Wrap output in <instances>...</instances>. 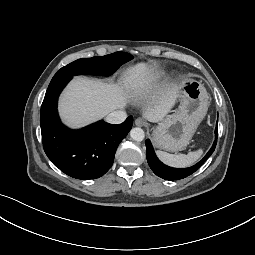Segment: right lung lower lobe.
<instances>
[{"instance_id":"right-lung-lower-lobe-1","label":"right lung lower lobe","mask_w":255,"mask_h":255,"mask_svg":"<svg viewBox=\"0 0 255 255\" xmlns=\"http://www.w3.org/2000/svg\"><path fill=\"white\" fill-rule=\"evenodd\" d=\"M72 77L51 81L40 112L43 148L65 174L82 180L104 175L112 166L119 143L130 131L133 117L113 125L98 121L80 130H70L58 116L59 94Z\"/></svg>"}]
</instances>
